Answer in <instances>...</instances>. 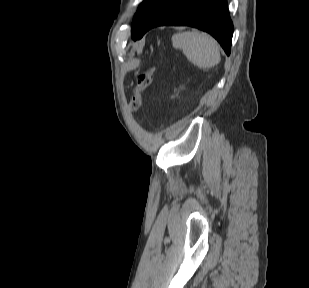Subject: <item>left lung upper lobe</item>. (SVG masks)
I'll list each match as a JSON object with an SVG mask.
<instances>
[{
	"mask_svg": "<svg viewBox=\"0 0 309 288\" xmlns=\"http://www.w3.org/2000/svg\"><path fill=\"white\" fill-rule=\"evenodd\" d=\"M159 1L160 0H144L141 3L131 25L132 36L140 30L143 22Z\"/></svg>",
	"mask_w": 309,
	"mask_h": 288,
	"instance_id": "left-lung-upper-lobe-1",
	"label": "left lung upper lobe"
}]
</instances>
